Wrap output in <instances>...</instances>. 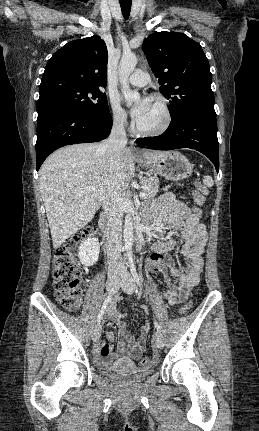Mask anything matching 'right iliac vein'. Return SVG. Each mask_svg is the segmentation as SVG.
I'll list each match as a JSON object with an SVG mask.
<instances>
[{"label": "right iliac vein", "instance_id": "1", "mask_svg": "<svg viewBox=\"0 0 259 431\" xmlns=\"http://www.w3.org/2000/svg\"><path fill=\"white\" fill-rule=\"evenodd\" d=\"M117 282H118V273L112 272L107 280V290L109 293H114L117 290ZM101 335V324H98L95 326L93 333H92V340L93 342H96L99 340Z\"/></svg>", "mask_w": 259, "mask_h": 431}]
</instances>
